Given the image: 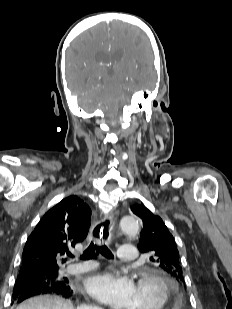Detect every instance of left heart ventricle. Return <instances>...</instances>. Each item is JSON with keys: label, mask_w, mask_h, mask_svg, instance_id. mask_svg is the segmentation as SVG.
<instances>
[{"label": "left heart ventricle", "mask_w": 232, "mask_h": 309, "mask_svg": "<svg viewBox=\"0 0 232 309\" xmlns=\"http://www.w3.org/2000/svg\"><path fill=\"white\" fill-rule=\"evenodd\" d=\"M161 292L152 282L136 284L132 309H152L159 304Z\"/></svg>", "instance_id": "obj_1"}]
</instances>
